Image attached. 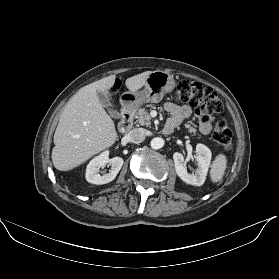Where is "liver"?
<instances>
[{"label":"liver","instance_id":"obj_1","mask_svg":"<svg viewBox=\"0 0 279 279\" xmlns=\"http://www.w3.org/2000/svg\"><path fill=\"white\" fill-rule=\"evenodd\" d=\"M151 73L128 78L126 87L137 92ZM115 78L111 75L84 86L65 106L54 134L52 162L57 170L69 171L116 142L114 122L97 97L98 91L109 93Z\"/></svg>","mask_w":279,"mask_h":279}]
</instances>
